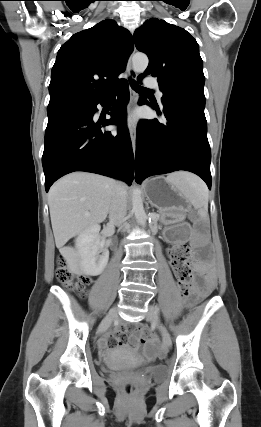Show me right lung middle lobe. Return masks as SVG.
<instances>
[{
  "instance_id": "1",
  "label": "right lung middle lobe",
  "mask_w": 261,
  "mask_h": 427,
  "mask_svg": "<svg viewBox=\"0 0 261 427\" xmlns=\"http://www.w3.org/2000/svg\"><path fill=\"white\" fill-rule=\"evenodd\" d=\"M88 107L89 106H68V107H63V108H58L53 110H47V111H48V116H50L53 114H58V113L67 112V111L83 110V109H87Z\"/></svg>"
}]
</instances>
